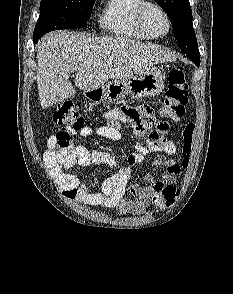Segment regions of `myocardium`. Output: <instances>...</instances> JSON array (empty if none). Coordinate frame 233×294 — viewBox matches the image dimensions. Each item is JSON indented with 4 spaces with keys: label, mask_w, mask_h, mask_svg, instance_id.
I'll return each mask as SVG.
<instances>
[{
    "label": "myocardium",
    "mask_w": 233,
    "mask_h": 294,
    "mask_svg": "<svg viewBox=\"0 0 233 294\" xmlns=\"http://www.w3.org/2000/svg\"><path fill=\"white\" fill-rule=\"evenodd\" d=\"M150 9H155V10L159 11L163 15V17L165 18V21L167 24V28H166L165 32H163L161 34H156L147 25L146 14ZM136 20H137L139 27L146 34L151 36L152 38L164 37L171 31V28H172V21H171L169 13L160 4H158L156 2H152V1H144V3L138 8L137 13H136Z\"/></svg>",
    "instance_id": "1"
}]
</instances>
